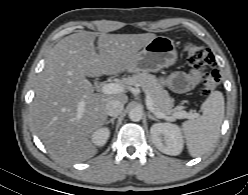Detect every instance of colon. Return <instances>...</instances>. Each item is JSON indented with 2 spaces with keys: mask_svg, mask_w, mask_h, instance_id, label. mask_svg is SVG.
<instances>
[{
  "mask_svg": "<svg viewBox=\"0 0 248 195\" xmlns=\"http://www.w3.org/2000/svg\"><path fill=\"white\" fill-rule=\"evenodd\" d=\"M186 61L189 66L197 70H206L202 77V94L210 95L220 84L221 78L215 68V57L206 47L189 42L184 46Z\"/></svg>",
  "mask_w": 248,
  "mask_h": 195,
  "instance_id": "5ec220e1",
  "label": "colon"
}]
</instances>
